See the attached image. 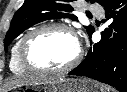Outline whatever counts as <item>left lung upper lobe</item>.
Returning a JSON list of instances; mask_svg holds the SVG:
<instances>
[{"instance_id": "1", "label": "left lung upper lobe", "mask_w": 127, "mask_h": 92, "mask_svg": "<svg viewBox=\"0 0 127 92\" xmlns=\"http://www.w3.org/2000/svg\"><path fill=\"white\" fill-rule=\"evenodd\" d=\"M89 1V0H86ZM114 0H91L102 6H106ZM72 0H25L24 4L15 13L9 31L7 32L4 48L7 51L8 45L23 31L29 27L48 19L70 18L76 20L73 14ZM90 35L94 28L85 27Z\"/></svg>"}]
</instances>
